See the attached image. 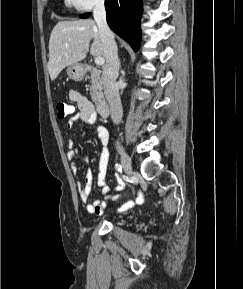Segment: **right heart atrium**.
Instances as JSON below:
<instances>
[{"label": "right heart atrium", "mask_w": 243, "mask_h": 289, "mask_svg": "<svg viewBox=\"0 0 243 289\" xmlns=\"http://www.w3.org/2000/svg\"><path fill=\"white\" fill-rule=\"evenodd\" d=\"M66 4L77 11H90L103 6L105 0H65Z\"/></svg>", "instance_id": "1"}]
</instances>
